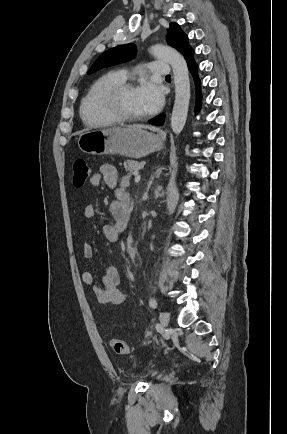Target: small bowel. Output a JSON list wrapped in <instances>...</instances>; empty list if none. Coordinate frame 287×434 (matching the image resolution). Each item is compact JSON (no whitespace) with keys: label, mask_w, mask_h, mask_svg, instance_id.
<instances>
[{"label":"small bowel","mask_w":287,"mask_h":434,"mask_svg":"<svg viewBox=\"0 0 287 434\" xmlns=\"http://www.w3.org/2000/svg\"><path fill=\"white\" fill-rule=\"evenodd\" d=\"M116 190V197L109 206L110 214L113 218V223H104L101 225V232L104 238L110 242H118L125 232L129 215L131 212V203L129 196L125 190L127 179L119 178V174L115 166L111 164H102L98 172L92 174L90 184L94 187H99L101 184ZM83 215L86 219H92L96 215V206L93 203H88L84 206ZM83 256L90 259L94 256V248L90 243H84L82 248ZM83 283L93 290V295L96 301L100 304H121L126 295L118 285L120 276L118 270L113 266H107L101 276L100 284H97L95 277L89 271L82 273Z\"/></svg>","instance_id":"obj_1"}]
</instances>
